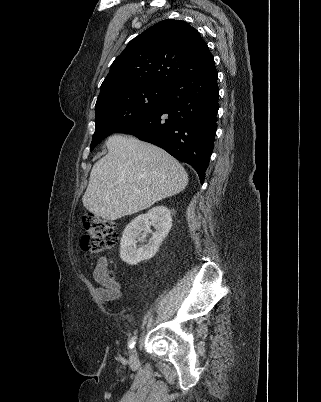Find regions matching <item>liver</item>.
<instances>
[{"label":"liver","instance_id":"1","mask_svg":"<svg viewBox=\"0 0 321 402\" xmlns=\"http://www.w3.org/2000/svg\"><path fill=\"white\" fill-rule=\"evenodd\" d=\"M106 145L108 154L94 164L82 198L95 216L117 220L135 214L188 184L183 166L160 147L121 134Z\"/></svg>","mask_w":321,"mask_h":402}]
</instances>
